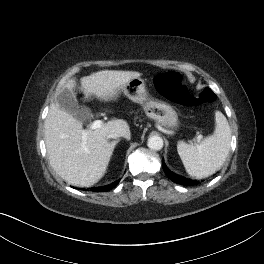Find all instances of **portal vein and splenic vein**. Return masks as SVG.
I'll return each mask as SVG.
<instances>
[{
    "instance_id": "obj_1",
    "label": "portal vein and splenic vein",
    "mask_w": 264,
    "mask_h": 264,
    "mask_svg": "<svg viewBox=\"0 0 264 264\" xmlns=\"http://www.w3.org/2000/svg\"><path fill=\"white\" fill-rule=\"evenodd\" d=\"M102 126V121L101 120H95L91 125L90 128L92 130H95L97 128H100Z\"/></svg>"
}]
</instances>
